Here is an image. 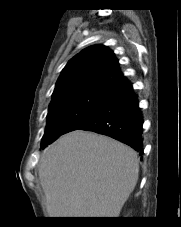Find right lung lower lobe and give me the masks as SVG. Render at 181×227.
<instances>
[{"mask_svg": "<svg viewBox=\"0 0 181 227\" xmlns=\"http://www.w3.org/2000/svg\"><path fill=\"white\" fill-rule=\"evenodd\" d=\"M142 114L131 83L122 79L111 90L104 104L67 132L88 130L110 136L143 153ZM66 132V133H67ZM46 145H41L43 149Z\"/></svg>", "mask_w": 181, "mask_h": 227, "instance_id": "right-lung-lower-lobe-1", "label": "right lung lower lobe"}]
</instances>
